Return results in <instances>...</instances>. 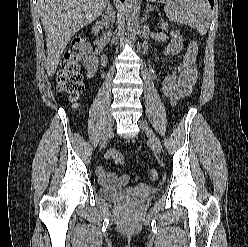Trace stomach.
<instances>
[{"instance_id": "obj_1", "label": "stomach", "mask_w": 248, "mask_h": 247, "mask_svg": "<svg viewBox=\"0 0 248 247\" xmlns=\"http://www.w3.org/2000/svg\"><path fill=\"white\" fill-rule=\"evenodd\" d=\"M149 1L154 2V1H156V0H149Z\"/></svg>"}]
</instances>
